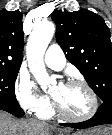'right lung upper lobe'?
<instances>
[{
  "label": "right lung upper lobe",
  "instance_id": "cb5924a9",
  "mask_svg": "<svg viewBox=\"0 0 112 135\" xmlns=\"http://www.w3.org/2000/svg\"><path fill=\"white\" fill-rule=\"evenodd\" d=\"M23 45L22 13L0 10V64L21 65Z\"/></svg>",
  "mask_w": 112,
  "mask_h": 135
}]
</instances>
